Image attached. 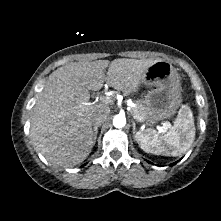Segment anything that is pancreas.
<instances>
[{"mask_svg":"<svg viewBox=\"0 0 221 221\" xmlns=\"http://www.w3.org/2000/svg\"><path fill=\"white\" fill-rule=\"evenodd\" d=\"M131 113L138 116L141 121L146 118V107L142 105L139 101H136V107L131 108Z\"/></svg>","mask_w":221,"mask_h":221,"instance_id":"pancreas-1","label":"pancreas"}]
</instances>
